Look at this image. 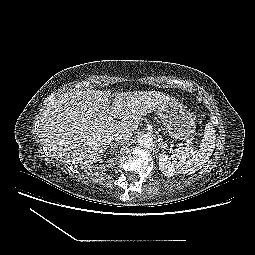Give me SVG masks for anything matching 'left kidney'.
<instances>
[{
  "instance_id": "5707ae66",
  "label": "left kidney",
  "mask_w": 255,
  "mask_h": 255,
  "mask_svg": "<svg viewBox=\"0 0 255 255\" xmlns=\"http://www.w3.org/2000/svg\"><path fill=\"white\" fill-rule=\"evenodd\" d=\"M159 169L165 176H173L175 168L168 155L161 153L159 156Z\"/></svg>"
}]
</instances>
